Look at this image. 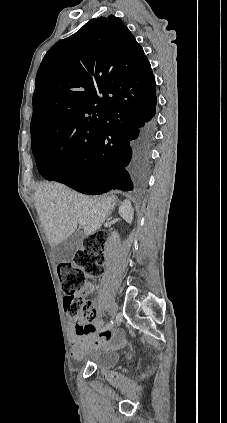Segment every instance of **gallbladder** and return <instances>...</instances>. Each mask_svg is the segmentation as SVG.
Masks as SVG:
<instances>
[{"mask_svg": "<svg viewBox=\"0 0 227 423\" xmlns=\"http://www.w3.org/2000/svg\"><path fill=\"white\" fill-rule=\"evenodd\" d=\"M85 235L82 233V229H77L73 235L63 239L61 243H58L56 247H53V257L55 261H71L76 251L83 247V239Z\"/></svg>", "mask_w": 227, "mask_h": 423, "instance_id": "bac80fb5", "label": "gallbladder"}]
</instances>
